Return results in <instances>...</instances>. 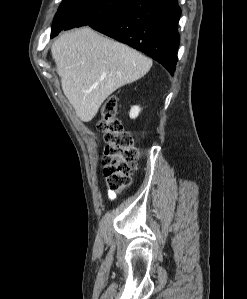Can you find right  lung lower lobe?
Returning a JSON list of instances; mask_svg holds the SVG:
<instances>
[{"mask_svg": "<svg viewBox=\"0 0 247 299\" xmlns=\"http://www.w3.org/2000/svg\"><path fill=\"white\" fill-rule=\"evenodd\" d=\"M180 14L177 0H132L120 12L90 27L144 52L173 74Z\"/></svg>", "mask_w": 247, "mask_h": 299, "instance_id": "98d812e1", "label": "right lung lower lobe"}]
</instances>
